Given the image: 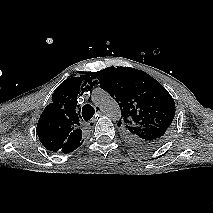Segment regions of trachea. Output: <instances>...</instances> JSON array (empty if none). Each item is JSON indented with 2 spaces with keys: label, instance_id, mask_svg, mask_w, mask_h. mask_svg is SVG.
<instances>
[{
  "label": "trachea",
  "instance_id": "trachea-1",
  "mask_svg": "<svg viewBox=\"0 0 213 213\" xmlns=\"http://www.w3.org/2000/svg\"><path fill=\"white\" fill-rule=\"evenodd\" d=\"M94 114H95V109L91 105L86 104V105L83 106L82 116H83L85 121L90 120L93 117Z\"/></svg>",
  "mask_w": 213,
  "mask_h": 213
}]
</instances>
